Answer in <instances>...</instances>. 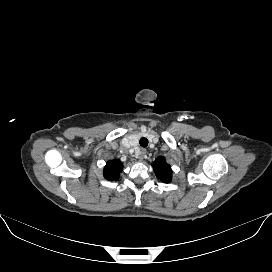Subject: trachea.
<instances>
[{
    "instance_id": "obj_1",
    "label": "trachea",
    "mask_w": 272,
    "mask_h": 272,
    "mask_svg": "<svg viewBox=\"0 0 272 272\" xmlns=\"http://www.w3.org/2000/svg\"><path fill=\"white\" fill-rule=\"evenodd\" d=\"M139 144H140L141 147H147V145H148V139L145 138V137H142L140 139V141H139Z\"/></svg>"
}]
</instances>
